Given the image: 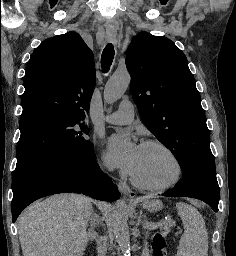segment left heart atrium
Instances as JSON below:
<instances>
[{"label":"left heart atrium","mask_w":236,"mask_h":256,"mask_svg":"<svg viewBox=\"0 0 236 256\" xmlns=\"http://www.w3.org/2000/svg\"><path fill=\"white\" fill-rule=\"evenodd\" d=\"M140 146L127 134H117L109 138L107 158L115 165L131 172L134 168Z\"/></svg>","instance_id":"left-heart-atrium-1"}]
</instances>
